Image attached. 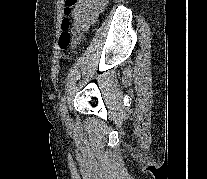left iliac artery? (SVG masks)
Instances as JSON below:
<instances>
[{
  "label": "left iliac artery",
  "mask_w": 207,
  "mask_h": 179,
  "mask_svg": "<svg viewBox=\"0 0 207 179\" xmlns=\"http://www.w3.org/2000/svg\"><path fill=\"white\" fill-rule=\"evenodd\" d=\"M59 110H60L62 116L65 117L67 114V109H66V105H65V96L61 98V104H60Z\"/></svg>",
  "instance_id": "left-iliac-artery-1"
}]
</instances>
